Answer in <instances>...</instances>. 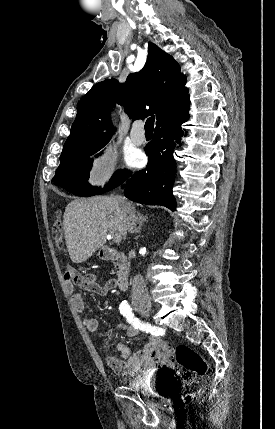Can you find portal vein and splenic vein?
<instances>
[{
	"label": "portal vein and splenic vein",
	"mask_w": 275,
	"mask_h": 429,
	"mask_svg": "<svg viewBox=\"0 0 275 429\" xmlns=\"http://www.w3.org/2000/svg\"><path fill=\"white\" fill-rule=\"evenodd\" d=\"M110 238L116 243H120L122 239L121 235L119 234H111Z\"/></svg>",
	"instance_id": "obj_1"
}]
</instances>
